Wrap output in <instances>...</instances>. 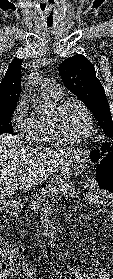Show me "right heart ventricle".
<instances>
[{
	"mask_svg": "<svg viewBox=\"0 0 113 279\" xmlns=\"http://www.w3.org/2000/svg\"><path fill=\"white\" fill-rule=\"evenodd\" d=\"M45 99L50 108H53L59 101V97L49 93H45ZM27 140L34 145H52L57 142L51 132L47 115L37 114L32 117Z\"/></svg>",
	"mask_w": 113,
	"mask_h": 279,
	"instance_id": "right-heart-ventricle-1",
	"label": "right heart ventricle"
}]
</instances>
